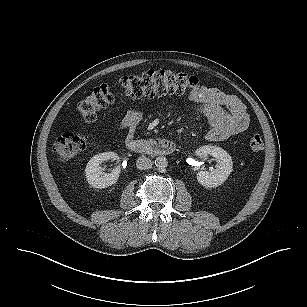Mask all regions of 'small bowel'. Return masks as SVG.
<instances>
[{
    "mask_svg": "<svg viewBox=\"0 0 307 307\" xmlns=\"http://www.w3.org/2000/svg\"><path fill=\"white\" fill-rule=\"evenodd\" d=\"M189 99L197 103V111L209 121L210 128L206 139L210 142L224 141L243 132L249 125L250 117L241 100L217 88L198 85ZM142 115L138 111H129L121 119L119 129L127 132V138H133Z\"/></svg>",
    "mask_w": 307,
    "mask_h": 307,
    "instance_id": "c3829d8e",
    "label": "small bowel"
}]
</instances>
